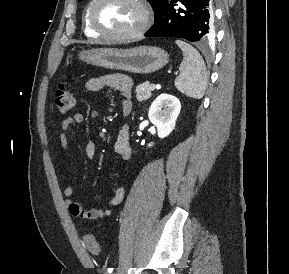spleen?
I'll use <instances>...</instances> for the list:
<instances>
[{"instance_id": "obj_1", "label": "spleen", "mask_w": 289, "mask_h": 274, "mask_svg": "<svg viewBox=\"0 0 289 274\" xmlns=\"http://www.w3.org/2000/svg\"><path fill=\"white\" fill-rule=\"evenodd\" d=\"M182 50L184 58L180 64V75L175 79L176 88L183 94L200 99L203 97L207 85L205 63L199 52L190 44L176 40Z\"/></svg>"}]
</instances>
